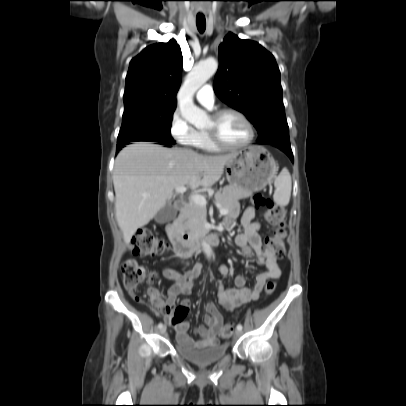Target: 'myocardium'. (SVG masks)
Instances as JSON below:
<instances>
[{
    "instance_id": "myocardium-1",
    "label": "myocardium",
    "mask_w": 406,
    "mask_h": 406,
    "mask_svg": "<svg viewBox=\"0 0 406 406\" xmlns=\"http://www.w3.org/2000/svg\"><path fill=\"white\" fill-rule=\"evenodd\" d=\"M227 113H232V114L237 115L247 126L248 137L243 143L238 144V145L226 144L225 142L222 141V139L220 138V136L215 128L206 129V133L210 137L211 141L220 149L239 150V149H243V148L247 147L248 145H250L253 142V140L255 138V129H254L252 122L242 111H240L236 108H233V107H225V108L218 109L211 114V118L216 122L224 114H227Z\"/></svg>"
}]
</instances>
